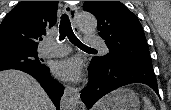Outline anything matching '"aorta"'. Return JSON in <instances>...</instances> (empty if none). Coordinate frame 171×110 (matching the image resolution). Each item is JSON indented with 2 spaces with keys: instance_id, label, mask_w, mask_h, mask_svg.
<instances>
[{
  "instance_id": "1",
  "label": "aorta",
  "mask_w": 171,
  "mask_h": 110,
  "mask_svg": "<svg viewBox=\"0 0 171 110\" xmlns=\"http://www.w3.org/2000/svg\"><path fill=\"white\" fill-rule=\"evenodd\" d=\"M76 22L79 30L83 33L94 32L97 28L96 18L89 13H80L77 16Z\"/></svg>"
}]
</instances>
